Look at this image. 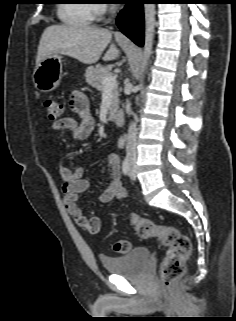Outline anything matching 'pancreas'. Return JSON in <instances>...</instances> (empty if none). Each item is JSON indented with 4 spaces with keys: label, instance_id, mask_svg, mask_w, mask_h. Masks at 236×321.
I'll use <instances>...</instances> for the list:
<instances>
[{
    "label": "pancreas",
    "instance_id": "1",
    "mask_svg": "<svg viewBox=\"0 0 236 321\" xmlns=\"http://www.w3.org/2000/svg\"><path fill=\"white\" fill-rule=\"evenodd\" d=\"M109 75H112V72L107 67H104L100 64L96 65L95 67L87 68L85 72L86 82L91 85L93 88H96L98 91H102L104 85L102 83L103 79ZM119 87L115 85L112 88V97H111V104L109 108L110 116L114 115V113L119 108Z\"/></svg>",
    "mask_w": 236,
    "mask_h": 321
}]
</instances>
